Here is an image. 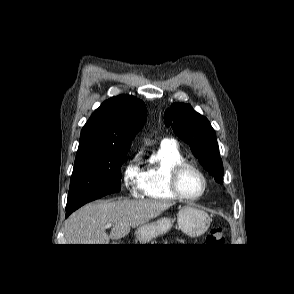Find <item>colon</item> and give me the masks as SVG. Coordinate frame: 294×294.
<instances>
[{
	"label": "colon",
	"mask_w": 294,
	"mask_h": 294,
	"mask_svg": "<svg viewBox=\"0 0 294 294\" xmlns=\"http://www.w3.org/2000/svg\"><path fill=\"white\" fill-rule=\"evenodd\" d=\"M206 242L214 245H223L225 242L223 229L219 226L213 227L206 237Z\"/></svg>",
	"instance_id": "1"
}]
</instances>
